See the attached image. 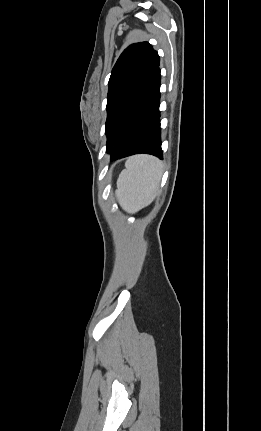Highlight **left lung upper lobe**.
I'll return each instance as SVG.
<instances>
[{"mask_svg":"<svg viewBox=\"0 0 261 431\" xmlns=\"http://www.w3.org/2000/svg\"><path fill=\"white\" fill-rule=\"evenodd\" d=\"M158 53L148 42L127 47L114 65L107 95L106 152L110 153L123 116L140 88L159 67Z\"/></svg>","mask_w":261,"mask_h":431,"instance_id":"obj_1","label":"left lung upper lobe"}]
</instances>
